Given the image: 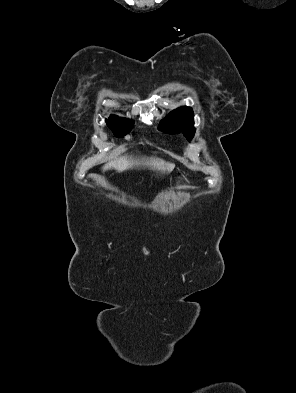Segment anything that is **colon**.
Listing matches in <instances>:
<instances>
[{"mask_svg":"<svg viewBox=\"0 0 296 393\" xmlns=\"http://www.w3.org/2000/svg\"><path fill=\"white\" fill-rule=\"evenodd\" d=\"M183 181H184V178H183V177L179 178V179H178V184L182 183Z\"/></svg>","mask_w":296,"mask_h":393,"instance_id":"obj_1","label":"colon"}]
</instances>
